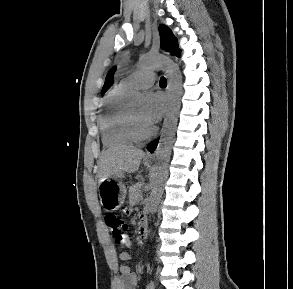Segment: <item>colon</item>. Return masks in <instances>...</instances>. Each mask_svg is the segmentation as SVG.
Here are the masks:
<instances>
[{"label": "colon", "instance_id": "5ec220e1", "mask_svg": "<svg viewBox=\"0 0 293 289\" xmlns=\"http://www.w3.org/2000/svg\"><path fill=\"white\" fill-rule=\"evenodd\" d=\"M105 222L112 236L120 243H125L128 237L126 222L115 214L105 216Z\"/></svg>", "mask_w": 293, "mask_h": 289}]
</instances>
